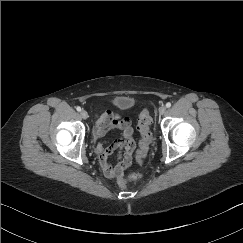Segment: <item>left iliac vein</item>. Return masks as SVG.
Instances as JSON below:
<instances>
[{"label": "left iliac vein", "instance_id": "left-iliac-vein-1", "mask_svg": "<svg viewBox=\"0 0 243 243\" xmlns=\"http://www.w3.org/2000/svg\"><path fill=\"white\" fill-rule=\"evenodd\" d=\"M166 112V107L165 106H161L159 108V114L163 115Z\"/></svg>", "mask_w": 243, "mask_h": 243}]
</instances>
